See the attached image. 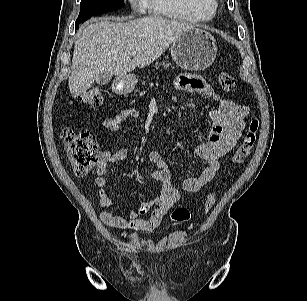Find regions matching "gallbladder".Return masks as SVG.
I'll return each instance as SVG.
<instances>
[{
    "mask_svg": "<svg viewBox=\"0 0 307 301\" xmlns=\"http://www.w3.org/2000/svg\"><path fill=\"white\" fill-rule=\"evenodd\" d=\"M112 79V74L109 72H103L98 79L96 80V83L98 85H106L108 84Z\"/></svg>",
    "mask_w": 307,
    "mask_h": 301,
    "instance_id": "bac80fb5",
    "label": "gallbladder"
}]
</instances>
